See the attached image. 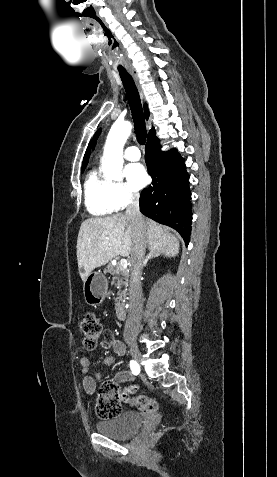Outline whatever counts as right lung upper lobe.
<instances>
[{"mask_svg": "<svg viewBox=\"0 0 277 477\" xmlns=\"http://www.w3.org/2000/svg\"><path fill=\"white\" fill-rule=\"evenodd\" d=\"M144 113H145V118L148 119L149 110H148V107H147L146 104L144 105ZM155 137H156V133H155L154 128H152L151 131L148 133V140L153 139ZM89 155H90V144H89V146L86 150V153L84 155V159H83V163H82V169L83 168L85 169V167L87 166Z\"/></svg>", "mask_w": 277, "mask_h": 477, "instance_id": "right-lung-upper-lobe-1", "label": "right lung upper lobe"}]
</instances>
